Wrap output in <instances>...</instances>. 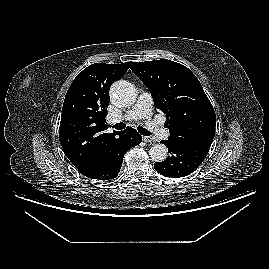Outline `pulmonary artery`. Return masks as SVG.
Segmentation results:
<instances>
[{
	"label": "pulmonary artery",
	"instance_id": "e3ab8cb5",
	"mask_svg": "<svg viewBox=\"0 0 269 269\" xmlns=\"http://www.w3.org/2000/svg\"><path fill=\"white\" fill-rule=\"evenodd\" d=\"M153 100L149 93L143 92L137 103L123 116H110L109 121L112 124L118 123L122 120L133 121L137 119H147L146 125L148 129L157 138H165L168 136V130L159 126L155 122L148 120L152 115Z\"/></svg>",
	"mask_w": 269,
	"mask_h": 269
}]
</instances>
